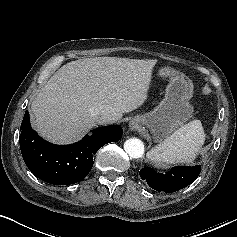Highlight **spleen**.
<instances>
[{"label":"spleen","mask_w":237,"mask_h":237,"mask_svg":"<svg viewBox=\"0 0 237 237\" xmlns=\"http://www.w3.org/2000/svg\"><path fill=\"white\" fill-rule=\"evenodd\" d=\"M202 123L193 120L164 139L148 152V158L155 163H192L205 142Z\"/></svg>","instance_id":"3e777b00"}]
</instances>
